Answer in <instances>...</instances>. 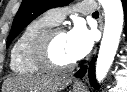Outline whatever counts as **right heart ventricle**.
Wrapping results in <instances>:
<instances>
[{"label":"right heart ventricle","mask_w":127,"mask_h":92,"mask_svg":"<svg viewBox=\"0 0 127 92\" xmlns=\"http://www.w3.org/2000/svg\"><path fill=\"white\" fill-rule=\"evenodd\" d=\"M55 24L48 15H44L34 19L24 28L11 49L10 68L14 73L33 75L43 72L33 58L32 47L36 37Z\"/></svg>","instance_id":"1"}]
</instances>
